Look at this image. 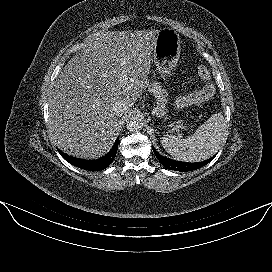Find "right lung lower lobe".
I'll return each instance as SVG.
<instances>
[{
    "label": "right lung lower lobe",
    "mask_w": 272,
    "mask_h": 272,
    "mask_svg": "<svg viewBox=\"0 0 272 272\" xmlns=\"http://www.w3.org/2000/svg\"><path fill=\"white\" fill-rule=\"evenodd\" d=\"M117 149H118V138L115 141L114 146L112 147L111 151L108 154H106L105 156H103L99 159H96V160H84V159L71 157V156L63 153L59 149H57V150L61 154V156L66 161H68L70 164H72L76 167H79L81 169L89 170V171H99V170H103V169L107 168L110 165V163L113 161V159L116 156Z\"/></svg>",
    "instance_id": "98d812e1"
}]
</instances>
